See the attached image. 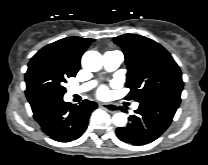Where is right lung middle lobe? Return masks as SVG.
I'll list each match as a JSON object with an SVG mask.
<instances>
[{"instance_id":"right-lung-middle-lobe-1","label":"right lung middle lobe","mask_w":208,"mask_h":165,"mask_svg":"<svg viewBox=\"0 0 208 165\" xmlns=\"http://www.w3.org/2000/svg\"><path fill=\"white\" fill-rule=\"evenodd\" d=\"M77 70L67 66L50 52L38 51L30 60L25 74L26 97L31 107L62 99L67 77H75Z\"/></svg>"}]
</instances>
